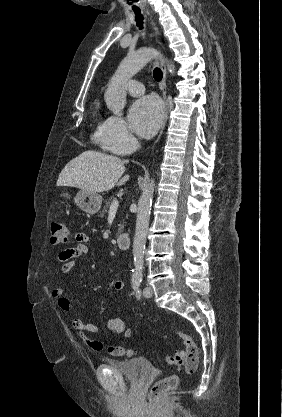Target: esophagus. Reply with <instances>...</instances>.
Segmentation results:
<instances>
[{"instance_id":"34e87169","label":"esophagus","mask_w":282,"mask_h":417,"mask_svg":"<svg viewBox=\"0 0 282 417\" xmlns=\"http://www.w3.org/2000/svg\"><path fill=\"white\" fill-rule=\"evenodd\" d=\"M152 26H153L155 36L158 37L160 35V31H159L157 25L154 22H152ZM160 68L162 70L163 77H162V80L159 84V87H160V90L162 91V97H163V102H164V113H163V120H162V125H161V128H160V132H159V135H158L154 145L158 142V140L162 136L163 130H164L165 125L167 123L168 112H169V103H168V100H167V85H166L167 70H166V65H165V62H164L163 58H160Z\"/></svg>"}]
</instances>
